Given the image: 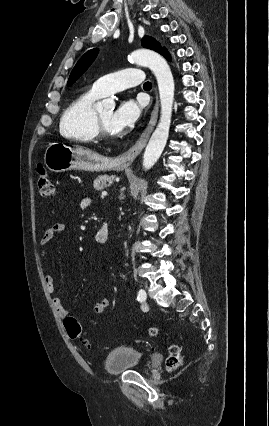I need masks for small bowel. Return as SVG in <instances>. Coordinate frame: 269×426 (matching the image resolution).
<instances>
[{
  "mask_svg": "<svg viewBox=\"0 0 269 426\" xmlns=\"http://www.w3.org/2000/svg\"><path fill=\"white\" fill-rule=\"evenodd\" d=\"M90 204L88 199H84L81 203L82 207L85 208ZM65 230V224L62 222H56L52 224L43 234L40 245H41V256L44 262L48 259L49 247L51 241L58 235L62 234ZM45 282L47 290L50 294L55 292V285L53 276L49 271L45 274ZM53 305L61 318H65L69 315L65 307V303L62 297L54 296L53 297ZM109 307V300L107 298H101L94 303V313L97 315H101L105 312V310Z\"/></svg>",
  "mask_w": 269,
  "mask_h": 426,
  "instance_id": "obj_1",
  "label": "small bowel"
}]
</instances>
